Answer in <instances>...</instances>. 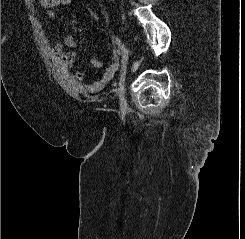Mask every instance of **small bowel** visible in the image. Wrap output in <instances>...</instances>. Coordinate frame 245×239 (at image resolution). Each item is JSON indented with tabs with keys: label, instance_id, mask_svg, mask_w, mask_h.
Listing matches in <instances>:
<instances>
[{
	"label": "small bowel",
	"instance_id": "c3829d8e",
	"mask_svg": "<svg viewBox=\"0 0 245 239\" xmlns=\"http://www.w3.org/2000/svg\"><path fill=\"white\" fill-rule=\"evenodd\" d=\"M40 3L42 7L47 9L49 17L53 18L56 15L54 8L59 5H69L71 0H40ZM65 44L71 48H75L77 46V42L72 35H68L66 37ZM54 52L58 57L61 67L67 71L70 70L76 60V53L74 51L65 52L63 50V44L60 42H57L54 45ZM90 65L96 69L102 68V62L97 57H91ZM118 69L119 54L114 50L111 54V63L105 68L97 79L84 84V89L89 93H96L103 90L114 78ZM72 79L74 82L82 84L85 80V74L82 71H75L72 75Z\"/></svg>",
	"mask_w": 245,
	"mask_h": 239
}]
</instances>
